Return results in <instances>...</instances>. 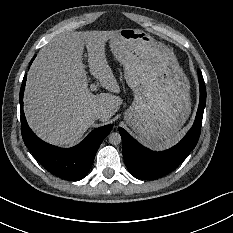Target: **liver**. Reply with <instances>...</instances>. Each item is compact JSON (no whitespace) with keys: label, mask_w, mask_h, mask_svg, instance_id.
Listing matches in <instances>:
<instances>
[{"label":"liver","mask_w":233,"mask_h":233,"mask_svg":"<svg viewBox=\"0 0 233 233\" xmlns=\"http://www.w3.org/2000/svg\"><path fill=\"white\" fill-rule=\"evenodd\" d=\"M116 32L67 31L40 50L28 71L23 101L28 124L41 139L72 146L94 123V111L102 112L100 121L106 122L120 109L121 89L105 52ZM85 47L89 72L107 92L93 94L89 89Z\"/></svg>","instance_id":"1"}]
</instances>
